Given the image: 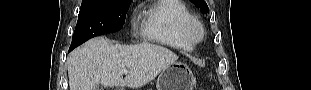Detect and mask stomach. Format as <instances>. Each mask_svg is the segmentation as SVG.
Wrapping results in <instances>:
<instances>
[{
  "mask_svg": "<svg viewBox=\"0 0 311 90\" xmlns=\"http://www.w3.org/2000/svg\"><path fill=\"white\" fill-rule=\"evenodd\" d=\"M195 77L182 62H175L163 69L157 78V90H193Z\"/></svg>",
  "mask_w": 311,
  "mask_h": 90,
  "instance_id": "1",
  "label": "stomach"
}]
</instances>
